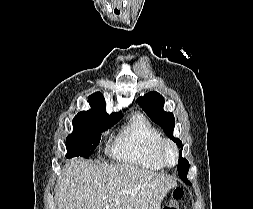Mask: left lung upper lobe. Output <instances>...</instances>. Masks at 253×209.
<instances>
[{
	"instance_id": "1",
	"label": "left lung upper lobe",
	"mask_w": 253,
	"mask_h": 209,
	"mask_svg": "<svg viewBox=\"0 0 253 209\" xmlns=\"http://www.w3.org/2000/svg\"><path fill=\"white\" fill-rule=\"evenodd\" d=\"M164 102V98L154 91L146 93L144 96L138 98L139 105L150 119L158 124L165 131L166 135L176 142L178 147L183 148L181 140L173 136V130L175 127L174 115L171 112H165L163 110ZM177 169L179 177L185 183H188L187 173L189 170V162L185 158L179 156Z\"/></svg>"
}]
</instances>
